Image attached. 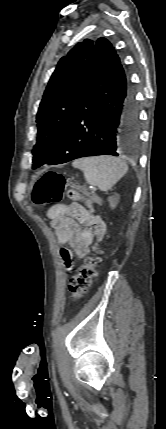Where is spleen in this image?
<instances>
[{
    "label": "spleen",
    "instance_id": "obj_1",
    "mask_svg": "<svg viewBox=\"0 0 166 429\" xmlns=\"http://www.w3.org/2000/svg\"><path fill=\"white\" fill-rule=\"evenodd\" d=\"M73 167L81 170L86 182L101 191L111 189L128 171L127 164L112 156H95L75 160Z\"/></svg>",
    "mask_w": 166,
    "mask_h": 429
}]
</instances>
